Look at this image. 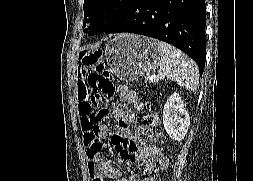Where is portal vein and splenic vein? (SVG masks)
<instances>
[{
    "label": "portal vein and splenic vein",
    "instance_id": "18ae733b",
    "mask_svg": "<svg viewBox=\"0 0 253 181\" xmlns=\"http://www.w3.org/2000/svg\"><path fill=\"white\" fill-rule=\"evenodd\" d=\"M158 80H159V78L156 75H152L149 77V81H151V82H158Z\"/></svg>",
    "mask_w": 253,
    "mask_h": 181
}]
</instances>
